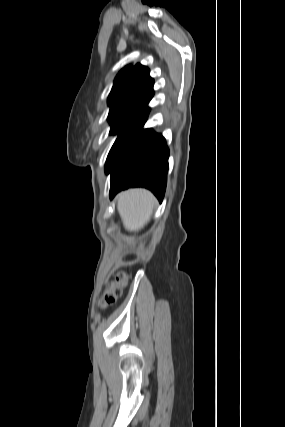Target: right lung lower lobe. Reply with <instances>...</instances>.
Masks as SVG:
<instances>
[{
    "mask_svg": "<svg viewBox=\"0 0 285 427\" xmlns=\"http://www.w3.org/2000/svg\"><path fill=\"white\" fill-rule=\"evenodd\" d=\"M147 116L148 113L106 171L111 173L110 198L137 186L150 189L160 202L164 197L169 150L161 134L143 129Z\"/></svg>",
    "mask_w": 285,
    "mask_h": 427,
    "instance_id": "obj_1",
    "label": "right lung lower lobe"
}]
</instances>
